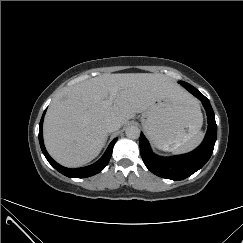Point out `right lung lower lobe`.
Returning a JSON list of instances; mask_svg holds the SVG:
<instances>
[{"label": "right lung lower lobe", "mask_w": 243, "mask_h": 243, "mask_svg": "<svg viewBox=\"0 0 243 243\" xmlns=\"http://www.w3.org/2000/svg\"><path fill=\"white\" fill-rule=\"evenodd\" d=\"M45 111L43 113V116H42L40 124H39V142H40L41 150H42L43 154L45 155L46 159L57 171H59L60 173H62L63 175H65L67 177L84 178V177L93 176V175L99 173L100 171H102L106 167V165L108 164L110 157L112 155L113 146H114L115 142L117 141V138H115L109 144L104 155L96 163H94L90 166L76 168V169H70V168H65V167L59 165L57 162H55L47 153L44 143H43L42 124H43Z\"/></svg>", "instance_id": "right-lung-lower-lobe-1"}]
</instances>
